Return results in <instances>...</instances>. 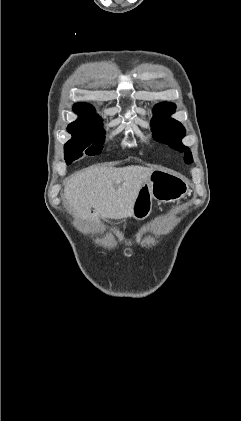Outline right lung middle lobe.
Here are the masks:
<instances>
[{"instance_id": "obj_1", "label": "right lung middle lobe", "mask_w": 241, "mask_h": 421, "mask_svg": "<svg viewBox=\"0 0 241 421\" xmlns=\"http://www.w3.org/2000/svg\"><path fill=\"white\" fill-rule=\"evenodd\" d=\"M101 125L99 120L90 125L68 126V132L72 134V138L64 146L67 164L78 159L83 153L94 156L101 152L104 142V131Z\"/></svg>"}]
</instances>
